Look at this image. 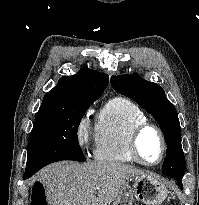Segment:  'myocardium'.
Wrapping results in <instances>:
<instances>
[{
	"instance_id": "1",
	"label": "myocardium",
	"mask_w": 199,
	"mask_h": 205,
	"mask_svg": "<svg viewBox=\"0 0 199 205\" xmlns=\"http://www.w3.org/2000/svg\"><path fill=\"white\" fill-rule=\"evenodd\" d=\"M147 130H154L158 134L160 142H161V156L159 160L156 162L146 161L142 157L140 150H139V139L141 135ZM128 149H129L130 155L133 157V159L136 162L142 165H145V166H156V165L161 164L163 160L165 159L166 154H167L168 145H167V140H166V137L162 129L154 123L145 122L140 125H137L131 131L130 136H129V141H128Z\"/></svg>"
}]
</instances>
